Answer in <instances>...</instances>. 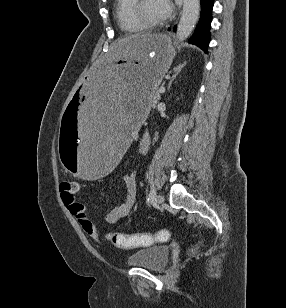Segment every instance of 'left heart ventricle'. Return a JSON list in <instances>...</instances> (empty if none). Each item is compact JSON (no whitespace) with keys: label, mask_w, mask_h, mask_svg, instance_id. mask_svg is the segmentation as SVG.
Listing matches in <instances>:
<instances>
[{"label":"left heart ventricle","mask_w":286,"mask_h":308,"mask_svg":"<svg viewBox=\"0 0 286 308\" xmlns=\"http://www.w3.org/2000/svg\"><path fill=\"white\" fill-rule=\"evenodd\" d=\"M142 14L152 22L162 21L165 18L160 0H145L142 5Z\"/></svg>","instance_id":"b2bd125f"}]
</instances>
